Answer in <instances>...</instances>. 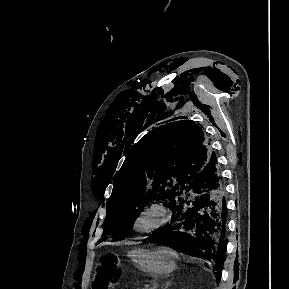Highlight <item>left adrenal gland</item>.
I'll return each instance as SVG.
<instances>
[{
  "label": "left adrenal gland",
  "mask_w": 289,
  "mask_h": 289,
  "mask_svg": "<svg viewBox=\"0 0 289 289\" xmlns=\"http://www.w3.org/2000/svg\"><path fill=\"white\" fill-rule=\"evenodd\" d=\"M171 285V282L170 281H167L166 283H165V286H164V288H162V289H168V287Z\"/></svg>",
  "instance_id": "1"
}]
</instances>
